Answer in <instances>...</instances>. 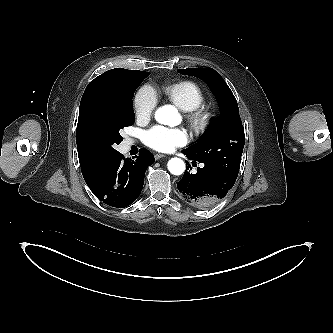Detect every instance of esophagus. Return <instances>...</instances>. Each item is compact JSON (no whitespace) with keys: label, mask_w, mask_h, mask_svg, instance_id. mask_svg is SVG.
<instances>
[{"label":"esophagus","mask_w":333,"mask_h":333,"mask_svg":"<svg viewBox=\"0 0 333 333\" xmlns=\"http://www.w3.org/2000/svg\"><path fill=\"white\" fill-rule=\"evenodd\" d=\"M155 160H159V159H161V158H165V157H167L166 155H164V154H159V153H157V154H155Z\"/></svg>","instance_id":"esophagus-1"}]
</instances>
